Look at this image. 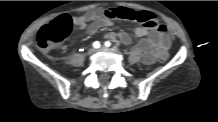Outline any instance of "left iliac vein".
<instances>
[{"label":"left iliac vein","instance_id":"4c4485c4","mask_svg":"<svg viewBox=\"0 0 218 122\" xmlns=\"http://www.w3.org/2000/svg\"><path fill=\"white\" fill-rule=\"evenodd\" d=\"M106 47L105 46H101L99 49L100 50H103V49H105Z\"/></svg>","mask_w":218,"mask_h":122}]
</instances>
